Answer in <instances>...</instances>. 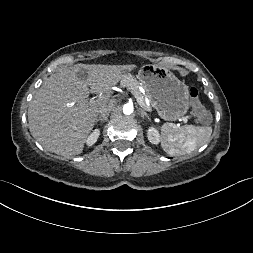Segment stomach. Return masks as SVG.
Listing matches in <instances>:
<instances>
[{
	"label": "stomach",
	"instance_id": "stomach-1",
	"mask_svg": "<svg viewBox=\"0 0 253 253\" xmlns=\"http://www.w3.org/2000/svg\"><path fill=\"white\" fill-rule=\"evenodd\" d=\"M137 79L162 119L175 121L188 112V86L167 68L145 64L138 71Z\"/></svg>",
	"mask_w": 253,
	"mask_h": 253
}]
</instances>
